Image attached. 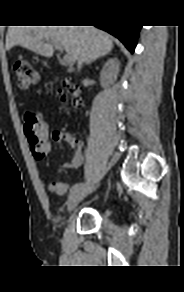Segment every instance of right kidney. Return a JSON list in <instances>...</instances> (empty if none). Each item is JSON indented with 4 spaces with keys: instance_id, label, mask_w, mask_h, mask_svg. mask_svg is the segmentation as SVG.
I'll return each instance as SVG.
<instances>
[{
    "instance_id": "obj_1",
    "label": "right kidney",
    "mask_w": 184,
    "mask_h": 292,
    "mask_svg": "<svg viewBox=\"0 0 184 292\" xmlns=\"http://www.w3.org/2000/svg\"><path fill=\"white\" fill-rule=\"evenodd\" d=\"M120 62L117 58L110 59L100 73L101 86L106 88L114 84L119 74Z\"/></svg>"
}]
</instances>
